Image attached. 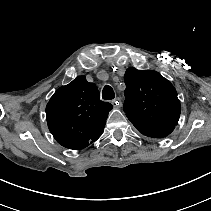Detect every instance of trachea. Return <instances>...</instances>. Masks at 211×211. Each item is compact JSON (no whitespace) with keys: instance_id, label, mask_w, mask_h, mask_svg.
I'll return each mask as SVG.
<instances>
[{"instance_id":"obj_1","label":"trachea","mask_w":211,"mask_h":211,"mask_svg":"<svg viewBox=\"0 0 211 211\" xmlns=\"http://www.w3.org/2000/svg\"><path fill=\"white\" fill-rule=\"evenodd\" d=\"M114 97H115V93L113 89L109 85H106L102 91V98L104 100H112Z\"/></svg>"}]
</instances>
